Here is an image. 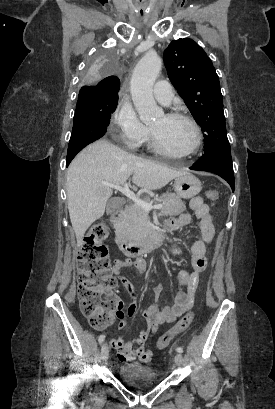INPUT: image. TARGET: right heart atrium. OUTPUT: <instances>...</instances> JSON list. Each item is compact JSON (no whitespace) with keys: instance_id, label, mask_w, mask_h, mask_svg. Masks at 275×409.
<instances>
[{"instance_id":"right-heart-atrium-1","label":"right heart atrium","mask_w":275,"mask_h":409,"mask_svg":"<svg viewBox=\"0 0 275 409\" xmlns=\"http://www.w3.org/2000/svg\"><path fill=\"white\" fill-rule=\"evenodd\" d=\"M111 123L116 143H126V152L135 153L149 134L134 109L124 102H119L114 110Z\"/></svg>"}]
</instances>
